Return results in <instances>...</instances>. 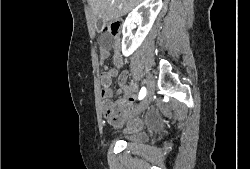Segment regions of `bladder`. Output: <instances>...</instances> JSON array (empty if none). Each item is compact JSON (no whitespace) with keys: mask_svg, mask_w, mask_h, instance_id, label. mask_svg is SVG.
<instances>
[{"mask_svg":"<svg viewBox=\"0 0 250 169\" xmlns=\"http://www.w3.org/2000/svg\"><path fill=\"white\" fill-rule=\"evenodd\" d=\"M151 133H139L138 130L123 137V141L129 146L146 145L151 140Z\"/></svg>","mask_w":250,"mask_h":169,"instance_id":"1","label":"bladder"}]
</instances>
